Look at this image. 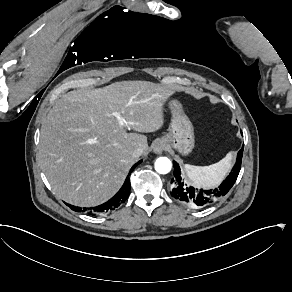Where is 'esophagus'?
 I'll list each match as a JSON object with an SVG mask.
<instances>
[{
  "label": "esophagus",
  "mask_w": 292,
  "mask_h": 292,
  "mask_svg": "<svg viewBox=\"0 0 292 292\" xmlns=\"http://www.w3.org/2000/svg\"><path fill=\"white\" fill-rule=\"evenodd\" d=\"M164 149H165L164 141L162 139L158 140L154 145V152L159 154L162 153Z\"/></svg>",
  "instance_id": "obj_1"
}]
</instances>
